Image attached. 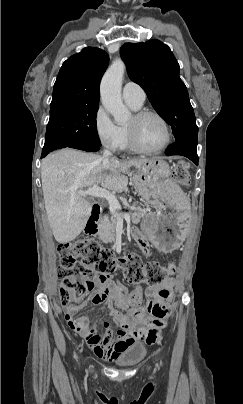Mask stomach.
Segmentation results:
<instances>
[{"label":"stomach","instance_id":"obj_1","mask_svg":"<svg viewBox=\"0 0 243 404\" xmlns=\"http://www.w3.org/2000/svg\"><path fill=\"white\" fill-rule=\"evenodd\" d=\"M132 179L144 200L155 208L142 218L143 232L162 252L180 247L190 225L191 207L186 194L170 178L168 163L152 158L136 168Z\"/></svg>","mask_w":243,"mask_h":404}]
</instances>
